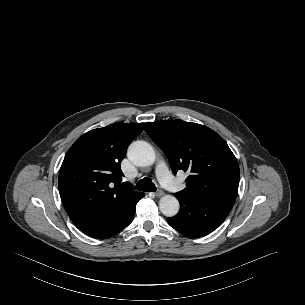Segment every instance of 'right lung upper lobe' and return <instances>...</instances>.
<instances>
[{
    "instance_id": "cb5924a9",
    "label": "right lung upper lobe",
    "mask_w": 305,
    "mask_h": 305,
    "mask_svg": "<svg viewBox=\"0 0 305 305\" xmlns=\"http://www.w3.org/2000/svg\"><path fill=\"white\" fill-rule=\"evenodd\" d=\"M144 124L114 123L83 134L68 150L58 179L63 205L77 227L111 217L141 192L121 184L120 162Z\"/></svg>"
}]
</instances>
